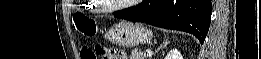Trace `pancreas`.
I'll list each match as a JSON object with an SVG mask.
<instances>
[{
    "label": "pancreas",
    "instance_id": "obj_1",
    "mask_svg": "<svg viewBox=\"0 0 261 59\" xmlns=\"http://www.w3.org/2000/svg\"><path fill=\"white\" fill-rule=\"evenodd\" d=\"M148 57L142 51L132 50L130 59H147Z\"/></svg>",
    "mask_w": 261,
    "mask_h": 59
}]
</instances>
